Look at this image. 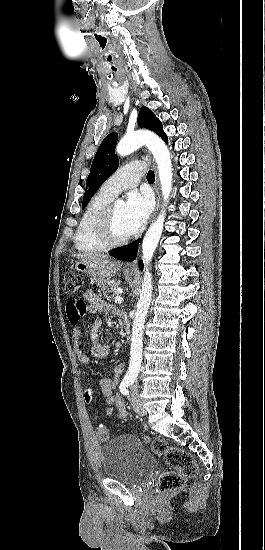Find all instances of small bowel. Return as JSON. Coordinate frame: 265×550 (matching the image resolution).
Returning a JSON list of instances; mask_svg holds the SVG:
<instances>
[{
	"label": "small bowel",
	"mask_w": 265,
	"mask_h": 550,
	"mask_svg": "<svg viewBox=\"0 0 265 550\" xmlns=\"http://www.w3.org/2000/svg\"><path fill=\"white\" fill-rule=\"evenodd\" d=\"M83 302L85 303L84 313H97L99 311H105L109 313H116V309L107 305L101 300L92 290H87L83 294ZM71 302V301H70ZM66 311L68 318L70 314L76 313V309L67 304ZM101 321L96 319L89 331L91 339V356L86 355L80 346L81 328L79 325H75L72 330V343L73 352L77 360L84 365L90 364L92 358L103 359L110 355V346L103 343L99 339V330ZM124 369L123 364H119L114 368L113 374L109 378H104L99 381V388L105 398L107 404L106 414L109 417L116 419H123L126 417V407L122 396L116 393V389L119 385L121 375Z\"/></svg>",
	"instance_id": "small-bowel-1"
}]
</instances>
